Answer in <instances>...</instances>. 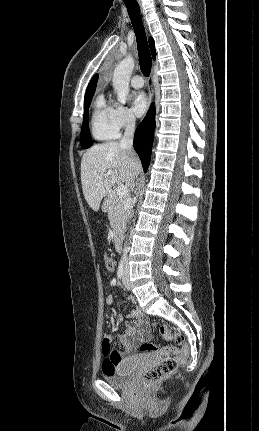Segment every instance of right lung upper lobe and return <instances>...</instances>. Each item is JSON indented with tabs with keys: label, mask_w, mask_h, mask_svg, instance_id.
Returning a JSON list of instances; mask_svg holds the SVG:
<instances>
[{
	"label": "right lung upper lobe",
	"mask_w": 259,
	"mask_h": 431,
	"mask_svg": "<svg viewBox=\"0 0 259 431\" xmlns=\"http://www.w3.org/2000/svg\"><path fill=\"white\" fill-rule=\"evenodd\" d=\"M149 45H150L152 57H153V59H155L156 58V51H155V47H154V40L152 38L149 39ZM97 81H98V75L96 74L91 79L90 83L88 84V87H87V90H86V94H89V93L95 91Z\"/></svg>",
	"instance_id": "cb5924a9"
}]
</instances>
